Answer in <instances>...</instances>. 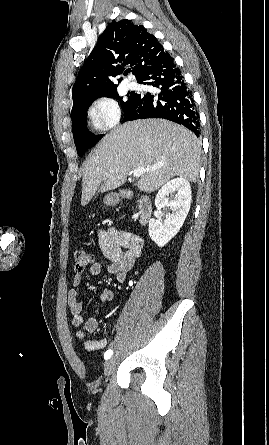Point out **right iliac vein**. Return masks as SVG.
<instances>
[{
  "mask_svg": "<svg viewBox=\"0 0 269 445\" xmlns=\"http://www.w3.org/2000/svg\"><path fill=\"white\" fill-rule=\"evenodd\" d=\"M116 361L114 358L109 359L105 363L104 374L106 376L110 375L115 369Z\"/></svg>",
  "mask_w": 269,
  "mask_h": 445,
  "instance_id": "right-iliac-vein-1",
  "label": "right iliac vein"
}]
</instances>
